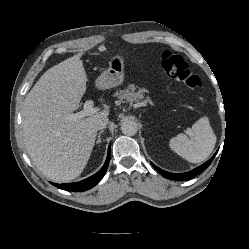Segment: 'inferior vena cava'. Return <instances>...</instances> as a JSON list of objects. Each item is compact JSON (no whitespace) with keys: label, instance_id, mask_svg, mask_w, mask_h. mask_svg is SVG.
<instances>
[{"label":"inferior vena cava","instance_id":"obj_1","mask_svg":"<svg viewBox=\"0 0 249 249\" xmlns=\"http://www.w3.org/2000/svg\"><path fill=\"white\" fill-rule=\"evenodd\" d=\"M108 124V118L107 117H101L98 118L95 122H94V127L97 130H101L104 129Z\"/></svg>","mask_w":249,"mask_h":249}]
</instances>
